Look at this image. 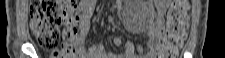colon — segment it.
Wrapping results in <instances>:
<instances>
[{
  "instance_id": "5ec220e1",
  "label": "colon",
  "mask_w": 225,
  "mask_h": 58,
  "mask_svg": "<svg viewBox=\"0 0 225 58\" xmlns=\"http://www.w3.org/2000/svg\"><path fill=\"white\" fill-rule=\"evenodd\" d=\"M31 27L40 47L54 58H75L78 9L70 0H32ZM188 27L186 1H173L167 13L166 34L158 49L162 58H176Z\"/></svg>"
}]
</instances>
